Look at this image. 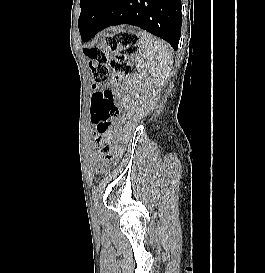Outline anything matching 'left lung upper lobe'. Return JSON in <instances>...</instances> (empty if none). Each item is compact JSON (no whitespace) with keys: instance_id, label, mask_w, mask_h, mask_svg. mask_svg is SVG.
<instances>
[{"instance_id":"left-lung-upper-lobe-1","label":"left lung upper lobe","mask_w":265,"mask_h":273,"mask_svg":"<svg viewBox=\"0 0 265 273\" xmlns=\"http://www.w3.org/2000/svg\"><path fill=\"white\" fill-rule=\"evenodd\" d=\"M92 0H80V7H81V14L79 17V26L81 24V21L83 19V16L85 15V13L88 11L89 7H90V2Z\"/></svg>"}]
</instances>
